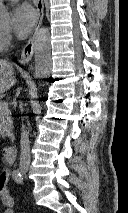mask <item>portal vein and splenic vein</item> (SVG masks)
Masks as SVG:
<instances>
[{"mask_svg": "<svg viewBox=\"0 0 128 213\" xmlns=\"http://www.w3.org/2000/svg\"><path fill=\"white\" fill-rule=\"evenodd\" d=\"M8 108V103L6 101H0V110H5Z\"/></svg>", "mask_w": 128, "mask_h": 213, "instance_id": "obj_1", "label": "portal vein and splenic vein"}]
</instances>
